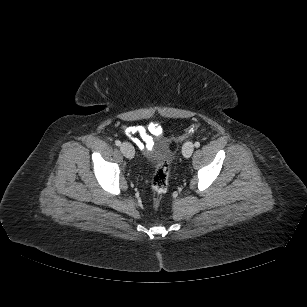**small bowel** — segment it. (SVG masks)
<instances>
[{
    "instance_id": "1",
    "label": "small bowel",
    "mask_w": 307,
    "mask_h": 307,
    "mask_svg": "<svg viewBox=\"0 0 307 307\" xmlns=\"http://www.w3.org/2000/svg\"><path fill=\"white\" fill-rule=\"evenodd\" d=\"M125 134L133 138L135 135L140 137L134 139L136 145L145 152H151L156 145L165 146V141L162 139V127L156 122L149 123L144 126H126L124 127Z\"/></svg>"
}]
</instances>
